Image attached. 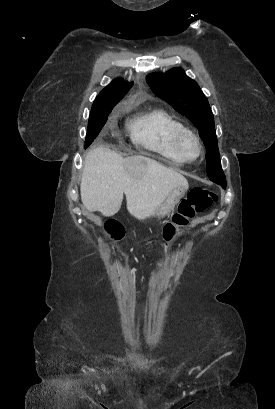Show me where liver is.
Here are the masks:
<instances>
[{"label":"liver","mask_w":275,"mask_h":409,"mask_svg":"<svg viewBox=\"0 0 275 409\" xmlns=\"http://www.w3.org/2000/svg\"><path fill=\"white\" fill-rule=\"evenodd\" d=\"M176 186L188 188L185 176L148 156H126L97 146L85 156L80 192L87 211L113 217L126 194L127 209L136 219H146Z\"/></svg>","instance_id":"6515ba94"}]
</instances>
